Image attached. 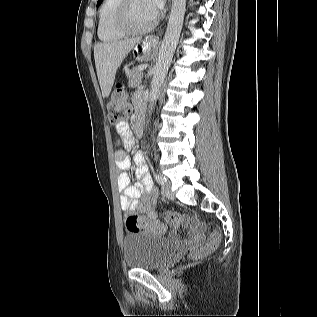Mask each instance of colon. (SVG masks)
Instances as JSON below:
<instances>
[{
	"label": "colon",
	"mask_w": 317,
	"mask_h": 317,
	"mask_svg": "<svg viewBox=\"0 0 317 317\" xmlns=\"http://www.w3.org/2000/svg\"><path fill=\"white\" fill-rule=\"evenodd\" d=\"M108 119L110 123L118 125L125 121L130 112L131 107L128 102L127 92L121 84H117L114 88L110 100L107 104ZM166 221L173 227L180 225L196 226L197 222L186 216H182L176 213H167ZM124 224L128 231L139 232L144 230H150L157 233H162L165 230L164 224L159 221H150L145 217L137 215H126L124 218ZM220 233L217 230H212L205 241L199 243L191 252L193 259H199L217 248L220 243Z\"/></svg>",
	"instance_id": "obj_1"
}]
</instances>
